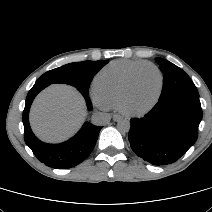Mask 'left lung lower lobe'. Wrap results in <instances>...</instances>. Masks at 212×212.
Masks as SVG:
<instances>
[{
	"label": "left lung lower lobe",
	"instance_id": "left-lung-lower-lobe-1",
	"mask_svg": "<svg viewBox=\"0 0 212 212\" xmlns=\"http://www.w3.org/2000/svg\"><path fill=\"white\" fill-rule=\"evenodd\" d=\"M201 119L199 97L179 94L158 100L144 117L130 120V146L153 165L174 163L196 142Z\"/></svg>",
	"mask_w": 212,
	"mask_h": 212
}]
</instances>
